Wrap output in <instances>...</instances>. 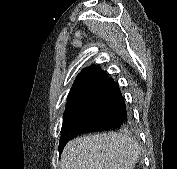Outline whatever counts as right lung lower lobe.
Listing matches in <instances>:
<instances>
[{
	"mask_svg": "<svg viewBox=\"0 0 177 169\" xmlns=\"http://www.w3.org/2000/svg\"><path fill=\"white\" fill-rule=\"evenodd\" d=\"M88 103L73 118L63 122L59 152L75 136L92 131L114 130L127 123L129 115L120 88L99 70L87 83Z\"/></svg>",
	"mask_w": 177,
	"mask_h": 169,
	"instance_id": "obj_1",
	"label": "right lung lower lobe"
}]
</instances>
